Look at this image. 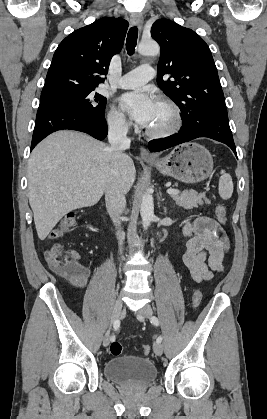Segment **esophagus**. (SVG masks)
<instances>
[{
    "mask_svg": "<svg viewBox=\"0 0 267 419\" xmlns=\"http://www.w3.org/2000/svg\"><path fill=\"white\" fill-rule=\"evenodd\" d=\"M130 22L132 25L141 28L143 24V16L139 13L132 14L130 16ZM140 156L143 159H154V156L150 154L144 147L140 148Z\"/></svg>",
    "mask_w": 267,
    "mask_h": 419,
    "instance_id": "esophagus-1",
    "label": "esophagus"
}]
</instances>
